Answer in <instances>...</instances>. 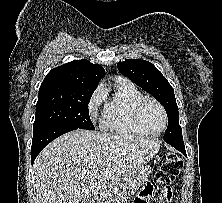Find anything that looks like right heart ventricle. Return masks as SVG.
<instances>
[{
    "label": "right heart ventricle",
    "mask_w": 222,
    "mask_h": 203,
    "mask_svg": "<svg viewBox=\"0 0 222 203\" xmlns=\"http://www.w3.org/2000/svg\"><path fill=\"white\" fill-rule=\"evenodd\" d=\"M143 97L144 95L134 84L122 78L117 79L112 94L108 96L105 91L107 102L102 119V128L121 135H145L146 133L139 128L133 116L136 102Z\"/></svg>",
    "instance_id": "right-heart-ventricle-1"
}]
</instances>
